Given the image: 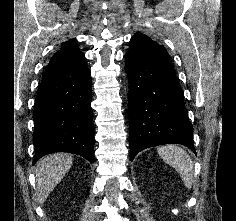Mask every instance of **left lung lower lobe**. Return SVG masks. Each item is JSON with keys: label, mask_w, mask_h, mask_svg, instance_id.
<instances>
[{"label": "left lung lower lobe", "mask_w": 236, "mask_h": 221, "mask_svg": "<svg viewBox=\"0 0 236 221\" xmlns=\"http://www.w3.org/2000/svg\"><path fill=\"white\" fill-rule=\"evenodd\" d=\"M131 160L146 148L182 144L194 153L193 127L167 51L138 32L125 55Z\"/></svg>", "instance_id": "0a47b994"}]
</instances>
